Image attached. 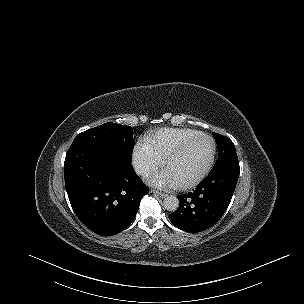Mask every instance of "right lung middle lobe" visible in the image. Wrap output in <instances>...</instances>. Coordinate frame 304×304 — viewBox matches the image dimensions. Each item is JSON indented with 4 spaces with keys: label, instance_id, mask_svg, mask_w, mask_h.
<instances>
[{
    "label": "right lung middle lobe",
    "instance_id": "1",
    "mask_svg": "<svg viewBox=\"0 0 304 304\" xmlns=\"http://www.w3.org/2000/svg\"><path fill=\"white\" fill-rule=\"evenodd\" d=\"M131 126L105 123L78 134L73 143L93 142L110 148L123 162L131 164L133 141Z\"/></svg>",
    "mask_w": 304,
    "mask_h": 304
}]
</instances>
